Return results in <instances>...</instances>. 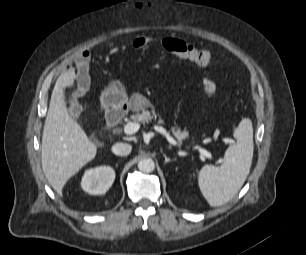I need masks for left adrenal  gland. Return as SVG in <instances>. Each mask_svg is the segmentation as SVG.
<instances>
[{"instance_id":"a2214340","label":"left adrenal gland","mask_w":306,"mask_h":255,"mask_svg":"<svg viewBox=\"0 0 306 255\" xmlns=\"http://www.w3.org/2000/svg\"><path fill=\"white\" fill-rule=\"evenodd\" d=\"M163 157L165 158V164L169 163V162H173V161H176V158H169L166 156L165 153H163Z\"/></svg>"}]
</instances>
